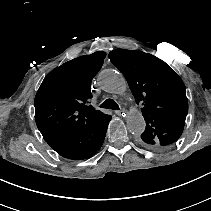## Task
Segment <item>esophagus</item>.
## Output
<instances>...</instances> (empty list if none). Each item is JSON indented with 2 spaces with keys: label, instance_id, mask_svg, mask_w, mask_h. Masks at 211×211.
<instances>
[{
  "label": "esophagus",
  "instance_id": "1",
  "mask_svg": "<svg viewBox=\"0 0 211 211\" xmlns=\"http://www.w3.org/2000/svg\"><path fill=\"white\" fill-rule=\"evenodd\" d=\"M115 113H116V115L121 116V115L125 114V110L124 109L116 110Z\"/></svg>",
  "mask_w": 211,
  "mask_h": 211
}]
</instances>
